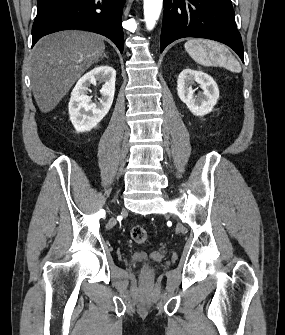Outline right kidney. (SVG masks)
<instances>
[{"label": "right kidney", "instance_id": "right-kidney-1", "mask_svg": "<svg viewBox=\"0 0 285 335\" xmlns=\"http://www.w3.org/2000/svg\"><path fill=\"white\" fill-rule=\"evenodd\" d=\"M97 80L104 84L100 90L102 96L94 104L87 92L90 84H96ZM115 82L116 72L111 66L93 68L78 80L68 106L70 120L77 132H90L108 114L114 100Z\"/></svg>", "mask_w": 285, "mask_h": 335}]
</instances>
